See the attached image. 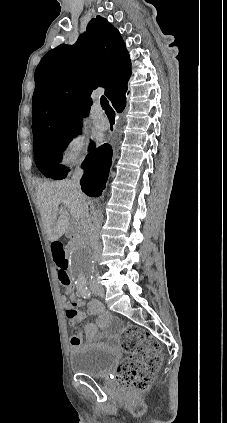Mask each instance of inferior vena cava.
<instances>
[{
    "label": "inferior vena cava",
    "mask_w": 227,
    "mask_h": 423,
    "mask_svg": "<svg viewBox=\"0 0 227 423\" xmlns=\"http://www.w3.org/2000/svg\"><path fill=\"white\" fill-rule=\"evenodd\" d=\"M82 176L83 170H81V168H75L72 176V182L73 184H75L76 188H78L79 192H81L80 180ZM83 206L86 219H90V221H93V223H82V225L85 231H87V241L91 249H93V263H95V265L93 269V279H91V281H97V279H99V271L96 265V261L101 253L98 227L99 225H101L102 219H100L98 215H92V217H90L86 202H83Z\"/></svg>",
    "instance_id": "obj_1"
}]
</instances>
